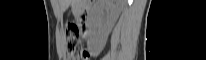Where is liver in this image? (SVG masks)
Segmentation results:
<instances>
[{
  "label": "liver",
  "mask_w": 206,
  "mask_h": 60,
  "mask_svg": "<svg viewBox=\"0 0 206 60\" xmlns=\"http://www.w3.org/2000/svg\"><path fill=\"white\" fill-rule=\"evenodd\" d=\"M112 2H114L113 5H111ZM58 3L60 5L61 10L64 11L69 7L70 4L74 3V0H58ZM107 3L111 5V12L113 14V19L115 21L121 12V9L125 3V0H114V1L109 0L107 1Z\"/></svg>",
  "instance_id": "obj_1"
}]
</instances>
